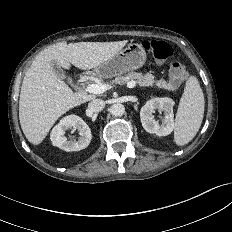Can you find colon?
<instances>
[{
	"mask_svg": "<svg viewBox=\"0 0 232 232\" xmlns=\"http://www.w3.org/2000/svg\"><path fill=\"white\" fill-rule=\"evenodd\" d=\"M144 48L158 61H166L173 54L171 45L162 40H147L144 42ZM169 78L174 85L182 84L187 78L186 68L174 60L170 65Z\"/></svg>",
	"mask_w": 232,
	"mask_h": 232,
	"instance_id": "colon-1",
	"label": "colon"
}]
</instances>
